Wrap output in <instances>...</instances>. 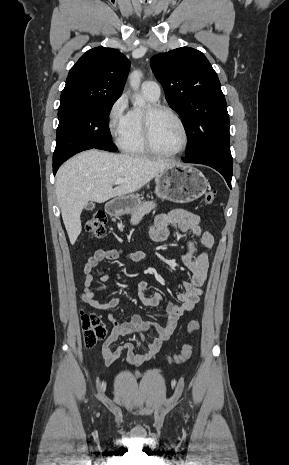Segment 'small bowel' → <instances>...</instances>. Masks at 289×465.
Returning <instances> with one entry per match:
<instances>
[{"mask_svg": "<svg viewBox=\"0 0 289 465\" xmlns=\"http://www.w3.org/2000/svg\"><path fill=\"white\" fill-rule=\"evenodd\" d=\"M170 225H174V230L188 234L190 237L188 250L182 256V261L192 272V277L188 281H182L183 291L177 294L178 303L167 302L164 323L144 321L137 315L131 316L126 321L120 320L110 312L119 304V298H113L108 302L101 303L96 299L91 288L95 278H99L102 282L107 281L109 278V272L102 275L97 272L96 268L100 262L115 260L120 257L133 262L148 261V256L145 253L140 251L126 252L113 247L108 250H97L85 264L82 299L98 310L107 311V319L113 326L101 349L102 357L107 365L113 364L122 352H126V363L132 366H140L153 358L176 328L179 318L184 313L193 310L204 292L209 269L208 256L213 246L212 235L201 228L199 215L186 210L175 209L157 215L150 231L151 238L155 242H167L174 231L170 228ZM193 239L197 241L199 246L196 245ZM137 294L141 303L147 307H158L162 304V295L158 292H149L146 281H140L137 284ZM148 330H154L157 337L147 345L145 352L136 353L131 343L122 344L116 350L112 349V345L122 336L136 334L144 341L143 333Z\"/></svg>", "mask_w": 289, "mask_h": 465, "instance_id": "1", "label": "small bowel"}]
</instances>
